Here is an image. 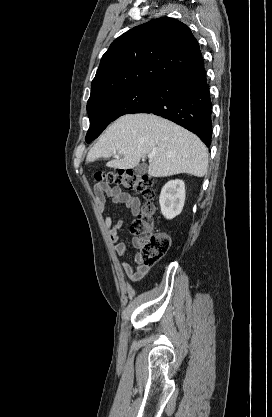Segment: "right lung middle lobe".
Listing matches in <instances>:
<instances>
[{"label":"right lung middle lobe","instance_id":"dd1d6c3e","mask_svg":"<svg viewBox=\"0 0 272 417\" xmlns=\"http://www.w3.org/2000/svg\"><path fill=\"white\" fill-rule=\"evenodd\" d=\"M159 85H140L122 89L88 102L87 111L90 127L86 142L97 138L108 124L118 117L133 113L146 102L158 89Z\"/></svg>","mask_w":272,"mask_h":417}]
</instances>
